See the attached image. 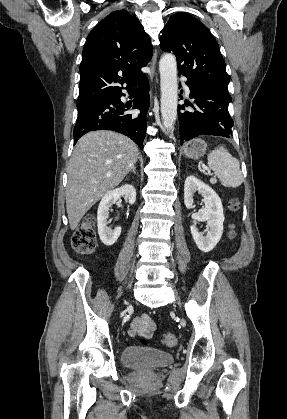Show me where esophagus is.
I'll list each match as a JSON object with an SVG mask.
<instances>
[{
  "label": "esophagus",
  "instance_id": "34e87169",
  "mask_svg": "<svg viewBox=\"0 0 287 419\" xmlns=\"http://www.w3.org/2000/svg\"><path fill=\"white\" fill-rule=\"evenodd\" d=\"M156 62H157V51L155 50L154 54H153V57H152V60H151V63H150L152 75L155 74Z\"/></svg>",
  "mask_w": 287,
  "mask_h": 419
}]
</instances>
